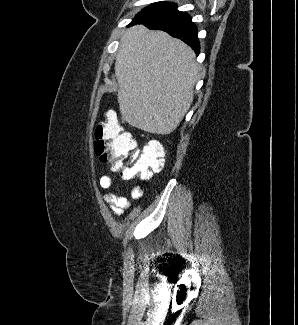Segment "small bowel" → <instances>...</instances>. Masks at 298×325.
<instances>
[{"mask_svg": "<svg viewBox=\"0 0 298 325\" xmlns=\"http://www.w3.org/2000/svg\"><path fill=\"white\" fill-rule=\"evenodd\" d=\"M100 187L103 189H110L113 186V178L108 174H103L99 179ZM144 195V190L141 186H134L131 189V197L135 200L142 198ZM106 202L109 204L110 210L113 214L119 216L124 210L130 207L129 200L121 195L115 193H108L105 196Z\"/></svg>", "mask_w": 298, "mask_h": 325, "instance_id": "c3829d8e", "label": "small bowel"}]
</instances>
